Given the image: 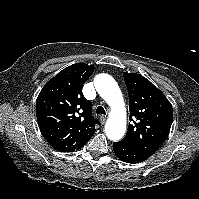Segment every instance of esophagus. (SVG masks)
<instances>
[{
  "mask_svg": "<svg viewBox=\"0 0 199 199\" xmlns=\"http://www.w3.org/2000/svg\"><path fill=\"white\" fill-rule=\"evenodd\" d=\"M100 122L104 124L106 122V117L100 116Z\"/></svg>",
  "mask_w": 199,
  "mask_h": 199,
  "instance_id": "obj_1",
  "label": "esophagus"
}]
</instances>
